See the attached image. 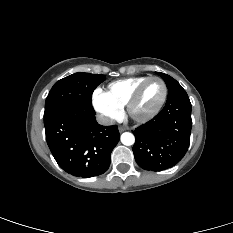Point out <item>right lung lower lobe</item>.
Instances as JSON below:
<instances>
[{
	"label": "right lung lower lobe",
	"mask_w": 233,
	"mask_h": 233,
	"mask_svg": "<svg viewBox=\"0 0 233 233\" xmlns=\"http://www.w3.org/2000/svg\"><path fill=\"white\" fill-rule=\"evenodd\" d=\"M89 102L64 105L44 115L47 144L58 165L83 178L103 174L117 145L118 127L99 125Z\"/></svg>",
	"instance_id": "right-lung-lower-lobe-1"
}]
</instances>
